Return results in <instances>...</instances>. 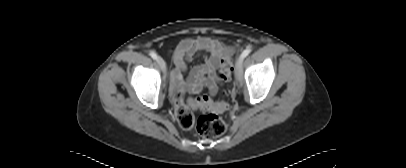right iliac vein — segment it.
Returning a JSON list of instances; mask_svg holds the SVG:
<instances>
[{"label":"right iliac vein","instance_id":"obj_1","mask_svg":"<svg viewBox=\"0 0 406 168\" xmlns=\"http://www.w3.org/2000/svg\"><path fill=\"white\" fill-rule=\"evenodd\" d=\"M157 62H158V64H159L161 70H162V71H165V70H166V63H165V61H164L161 57H158V58H157Z\"/></svg>","mask_w":406,"mask_h":168}]
</instances>
